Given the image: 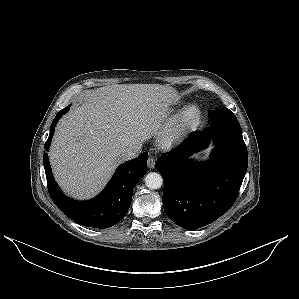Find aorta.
<instances>
[{
  "mask_svg": "<svg viewBox=\"0 0 299 299\" xmlns=\"http://www.w3.org/2000/svg\"><path fill=\"white\" fill-rule=\"evenodd\" d=\"M145 184L150 189H159L163 185L162 176L157 172H150L145 176Z\"/></svg>",
  "mask_w": 299,
  "mask_h": 299,
  "instance_id": "aorta-1",
  "label": "aorta"
}]
</instances>
